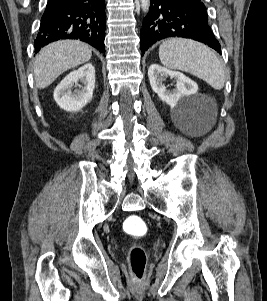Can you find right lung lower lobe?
<instances>
[{
  "label": "right lung lower lobe",
  "mask_w": 267,
  "mask_h": 301,
  "mask_svg": "<svg viewBox=\"0 0 267 301\" xmlns=\"http://www.w3.org/2000/svg\"><path fill=\"white\" fill-rule=\"evenodd\" d=\"M104 9V0H49L35 40V52L57 40L80 39L105 53Z\"/></svg>",
  "instance_id": "right-lung-lower-lobe-1"
}]
</instances>
